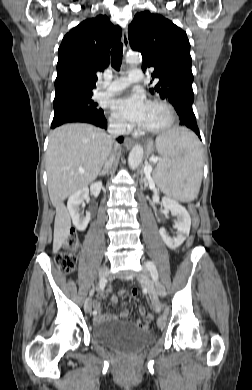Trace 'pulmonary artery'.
I'll use <instances>...</instances> for the list:
<instances>
[{
	"label": "pulmonary artery",
	"instance_id": "pulmonary-artery-1",
	"mask_svg": "<svg viewBox=\"0 0 252 390\" xmlns=\"http://www.w3.org/2000/svg\"><path fill=\"white\" fill-rule=\"evenodd\" d=\"M143 78V72L140 69H133L130 72H128L127 76L117 78L115 81H113L106 90L100 91L98 95L103 96H110L114 95L127 86H129L132 83L140 82Z\"/></svg>",
	"mask_w": 252,
	"mask_h": 390
}]
</instances>
